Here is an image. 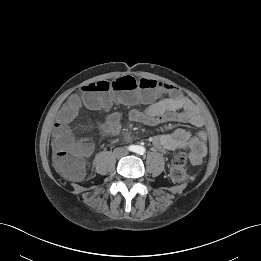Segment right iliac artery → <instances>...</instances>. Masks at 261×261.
I'll list each match as a JSON object with an SVG mask.
<instances>
[{
  "mask_svg": "<svg viewBox=\"0 0 261 261\" xmlns=\"http://www.w3.org/2000/svg\"><path fill=\"white\" fill-rule=\"evenodd\" d=\"M128 149L131 150V151H134L135 147L134 146H129Z\"/></svg>",
  "mask_w": 261,
  "mask_h": 261,
  "instance_id": "82829eb1",
  "label": "right iliac artery"
}]
</instances>
